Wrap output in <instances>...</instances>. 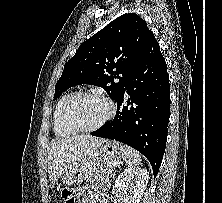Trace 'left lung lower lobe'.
I'll return each mask as SVG.
<instances>
[{
	"label": "left lung lower lobe",
	"instance_id": "0a47b994",
	"mask_svg": "<svg viewBox=\"0 0 222 203\" xmlns=\"http://www.w3.org/2000/svg\"><path fill=\"white\" fill-rule=\"evenodd\" d=\"M129 99L124 105V95ZM117 112L92 135L125 143L147 157L156 177L165 152L170 115V85L165 59L153 32L116 99Z\"/></svg>",
	"mask_w": 222,
	"mask_h": 203
}]
</instances>
